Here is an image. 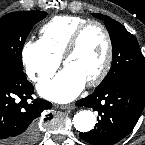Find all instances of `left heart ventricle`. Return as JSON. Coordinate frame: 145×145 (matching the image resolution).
Wrapping results in <instances>:
<instances>
[{
    "mask_svg": "<svg viewBox=\"0 0 145 145\" xmlns=\"http://www.w3.org/2000/svg\"><path fill=\"white\" fill-rule=\"evenodd\" d=\"M106 49L104 33L99 27L91 26L83 33L76 51L66 60L64 66L72 68L88 82L101 70Z\"/></svg>",
    "mask_w": 145,
    "mask_h": 145,
    "instance_id": "1",
    "label": "left heart ventricle"
}]
</instances>
